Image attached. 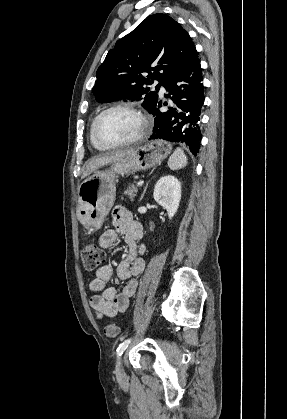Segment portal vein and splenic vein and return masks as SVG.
Wrapping results in <instances>:
<instances>
[{"instance_id":"portal-vein-and-splenic-vein-1","label":"portal vein and splenic vein","mask_w":287,"mask_h":419,"mask_svg":"<svg viewBox=\"0 0 287 419\" xmlns=\"http://www.w3.org/2000/svg\"><path fill=\"white\" fill-rule=\"evenodd\" d=\"M143 183H144V181H143V180H140V181L137 183V186H142V185H143Z\"/></svg>"}]
</instances>
